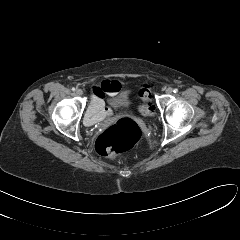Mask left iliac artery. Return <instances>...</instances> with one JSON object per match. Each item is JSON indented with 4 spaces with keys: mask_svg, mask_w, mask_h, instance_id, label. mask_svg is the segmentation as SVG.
<instances>
[{
    "mask_svg": "<svg viewBox=\"0 0 240 240\" xmlns=\"http://www.w3.org/2000/svg\"><path fill=\"white\" fill-rule=\"evenodd\" d=\"M173 92H174V93H177V92H178V89H177V88H175V89L173 90Z\"/></svg>",
    "mask_w": 240,
    "mask_h": 240,
    "instance_id": "1",
    "label": "left iliac artery"
}]
</instances>
